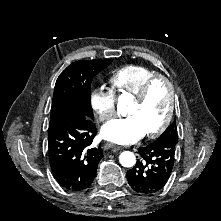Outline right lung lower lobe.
Wrapping results in <instances>:
<instances>
[{
    "mask_svg": "<svg viewBox=\"0 0 221 221\" xmlns=\"http://www.w3.org/2000/svg\"><path fill=\"white\" fill-rule=\"evenodd\" d=\"M89 117L68 107L51 117L48 154L52 173L65 189L78 192L93 182L103 152L91 144L97 133Z\"/></svg>",
    "mask_w": 221,
    "mask_h": 221,
    "instance_id": "98d812e1",
    "label": "right lung lower lobe"
}]
</instances>
